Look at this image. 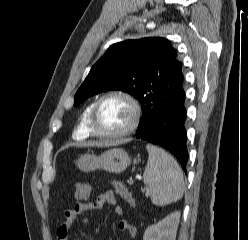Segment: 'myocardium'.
Returning a JSON list of instances; mask_svg holds the SVG:
<instances>
[{"mask_svg": "<svg viewBox=\"0 0 248 240\" xmlns=\"http://www.w3.org/2000/svg\"><path fill=\"white\" fill-rule=\"evenodd\" d=\"M110 98H118L124 100L131 109L132 118L129 125L123 130L114 133H103L97 129L96 117L101 103ZM141 117H142L141 105L133 95L125 91H110L100 96L93 104L90 114V120H89L90 130L92 135L101 138L113 139V138L123 137L133 133L137 129Z\"/></svg>", "mask_w": 248, "mask_h": 240, "instance_id": "f54148a6", "label": "myocardium"}]
</instances>
